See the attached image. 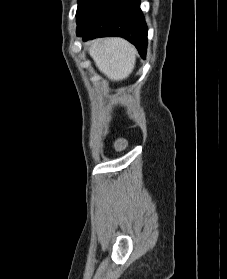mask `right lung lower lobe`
Instances as JSON below:
<instances>
[{
    "label": "right lung lower lobe",
    "mask_w": 227,
    "mask_h": 279,
    "mask_svg": "<svg viewBox=\"0 0 227 279\" xmlns=\"http://www.w3.org/2000/svg\"><path fill=\"white\" fill-rule=\"evenodd\" d=\"M148 28L140 0H92L77 19V36L84 40L119 36L136 46L145 58Z\"/></svg>",
    "instance_id": "98d812e1"
}]
</instances>
